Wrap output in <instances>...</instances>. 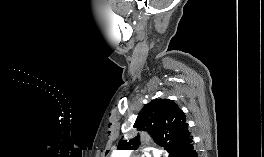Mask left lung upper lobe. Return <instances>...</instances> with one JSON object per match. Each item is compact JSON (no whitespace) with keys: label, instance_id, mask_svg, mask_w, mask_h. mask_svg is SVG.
<instances>
[{"label":"left lung upper lobe","instance_id":"5c2ea615","mask_svg":"<svg viewBox=\"0 0 264 157\" xmlns=\"http://www.w3.org/2000/svg\"><path fill=\"white\" fill-rule=\"evenodd\" d=\"M134 127L147 131L154 141L175 157L180 146L190 139L186 116L170 99H155L139 112ZM139 146V135L129 142L120 140L118 149L134 150Z\"/></svg>","mask_w":264,"mask_h":157}]
</instances>
